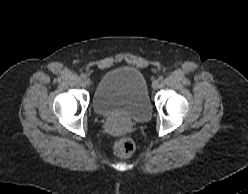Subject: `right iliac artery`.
Wrapping results in <instances>:
<instances>
[{"mask_svg": "<svg viewBox=\"0 0 248 194\" xmlns=\"http://www.w3.org/2000/svg\"><path fill=\"white\" fill-rule=\"evenodd\" d=\"M85 77H86L85 74H81V75H80V78H82V79H84Z\"/></svg>", "mask_w": 248, "mask_h": 194, "instance_id": "obj_1", "label": "right iliac artery"}]
</instances>
